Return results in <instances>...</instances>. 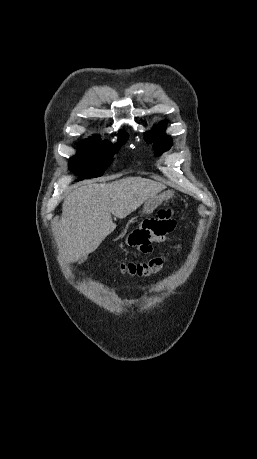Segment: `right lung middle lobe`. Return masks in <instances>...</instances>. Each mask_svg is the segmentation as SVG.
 <instances>
[{
  "instance_id": "right-lung-middle-lobe-1",
  "label": "right lung middle lobe",
  "mask_w": 257,
  "mask_h": 459,
  "mask_svg": "<svg viewBox=\"0 0 257 459\" xmlns=\"http://www.w3.org/2000/svg\"><path fill=\"white\" fill-rule=\"evenodd\" d=\"M128 139L126 133H121L116 145L107 140L102 141L89 138L79 143L78 154L74 156L69 164L71 171L79 176L77 181L86 178L102 176L107 167L111 164L113 156L118 152L119 147Z\"/></svg>"
}]
</instances>
